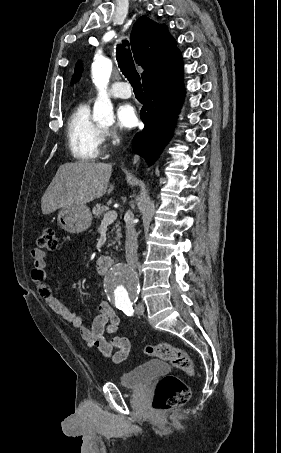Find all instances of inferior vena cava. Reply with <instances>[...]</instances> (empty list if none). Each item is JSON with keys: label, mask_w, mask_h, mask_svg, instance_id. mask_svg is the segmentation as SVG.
Masks as SVG:
<instances>
[{"label": "inferior vena cava", "mask_w": 281, "mask_h": 453, "mask_svg": "<svg viewBox=\"0 0 281 453\" xmlns=\"http://www.w3.org/2000/svg\"><path fill=\"white\" fill-rule=\"evenodd\" d=\"M134 214L131 210L126 212L125 222H126V243H125V253H126V261L130 267L133 269H137L138 265V255H137V233L135 231L134 222H133Z\"/></svg>", "instance_id": "602c4592"}]
</instances>
